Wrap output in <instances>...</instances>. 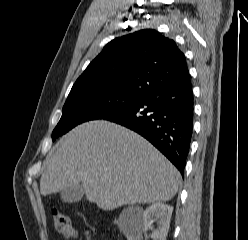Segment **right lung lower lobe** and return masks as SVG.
Instances as JSON below:
<instances>
[{
    "label": "right lung lower lobe",
    "instance_id": "1",
    "mask_svg": "<svg viewBox=\"0 0 248 240\" xmlns=\"http://www.w3.org/2000/svg\"><path fill=\"white\" fill-rule=\"evenodd\" d=\"M194 100L190 75L143 96L105 120L142 135L160 150L183 176L193 130Z\"/></svg>",
    "mask_w": 248,
    "mask_h": 240
}]
</instances>
